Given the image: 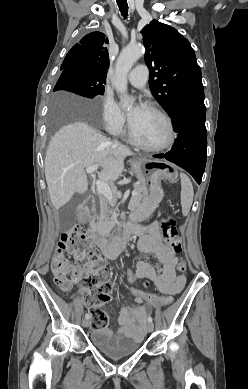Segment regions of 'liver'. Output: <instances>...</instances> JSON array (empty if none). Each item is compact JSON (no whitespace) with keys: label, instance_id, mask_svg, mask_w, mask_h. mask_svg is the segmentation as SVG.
<instances>
[{"label":"liver","instance_id":"liver-1","mask_svg":"<svg viewBox=\"0 0 248 389\" xmlns=\"http://www.w3.org/2000/svg\"><path fill=\"white\" fill-rule=\"evenodd\" d=\"M57 101L86 104L78 97L59 94ZM134 153L126 146L114 145L90 125L75 122L63 126L51 139L45 157V177L51 202L56 210L67 204L75 193L88 189L85 168L97 164L103 181H114L121 174L127 156Z\"/></svg>","mask_w":248,"mask_h":389}]
</instances>
